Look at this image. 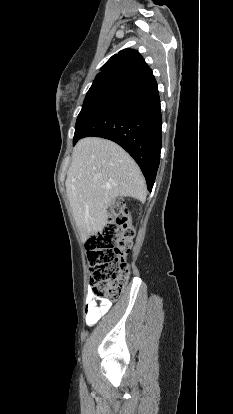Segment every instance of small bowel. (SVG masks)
Segmentation results:
<instances>
[{
	"label": "small bowel",
	"mask_w": 233,
	"mask_h": 414,
	"mask_svg": "<svg viewBox=\"0 0 233 414\" xmlns=\"http://www.w3.org/2000/svg\"><path fill=\"white\" fill-rule=\"evenodd\" d=\"M92 292L91 288L87 289ZM112 302L109 299L98 298L93 294H88L85 309V323L88 326L95 325L111 308Z\"/></svg>",
	"instance_id": "1"
}]
</instances>
